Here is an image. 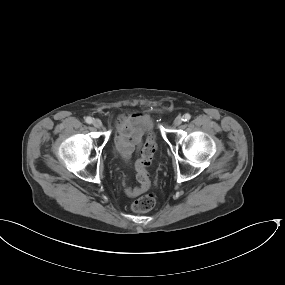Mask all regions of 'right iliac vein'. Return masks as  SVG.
Wrapping results in <instances>:
<instances>
[{"instance_id": "1", "label": "right iliac vein", "mask_w": 285, "mask_h": 285, "mask_svg": "<svg viewBox=\"0 0 285 285\" xmlns=\"http://www.w3.org/2000/svg\"><path fill=\"white\" fill-rule=\"evenodd\" d=\"M93 126L97 129H100L102 127V122L100 119H94L93 120Z\"/></svg>"}]
</instances>
